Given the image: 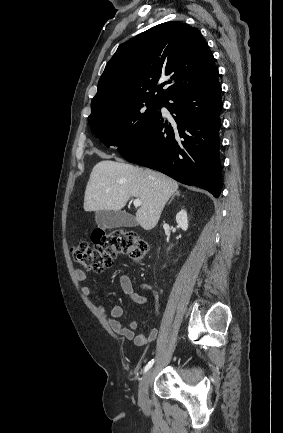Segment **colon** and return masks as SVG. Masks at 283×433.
Segmentation results:
<instances>
[{
    "instance_id": "obj_1",
    "label": "colon",
    "mask_w": 283,
    "mask_h": 433,
    "mask_svg": "<svg viewBox=\"0 0 283 433\" xmlns=\"http://www.w3.org/2000/svg\"><path fill=\"white\" fill-rule=\"evenodd\" d=\"M93 245L81 239L71 248L75 261L87 271L101 272L112 266L118 254L141 260L148 252V243L133 231L116 229L92 236Z\"/></svg>"
}]
</instances>
